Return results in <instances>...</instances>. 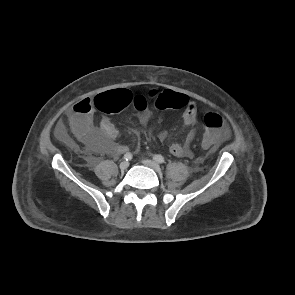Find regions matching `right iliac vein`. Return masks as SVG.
<instances>
[{
	"instance_id": "1",
	"label": "right iliac vein",
	"mask_w": 295,
	"mask_h": 295,
	"mask_svg": "<svg viewBox=\"0 0 295 295\" xmlns=\"http://www.w3.org/2000/svg\"><path fill=\"white\" fill-rule=\"evenodd\" d=\"M128 166H129V163H128L127 161H122V162L120 163V165H119V167H120L121 170H125V169H127Z\"/></svg>"
}]
</instances>
